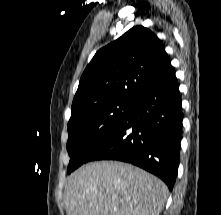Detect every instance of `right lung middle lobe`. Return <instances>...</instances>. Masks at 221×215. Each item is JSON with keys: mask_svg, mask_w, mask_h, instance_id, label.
<instances>
[{"mask_svg": "<svg viewBox=\"0 0 221 215\" xmlns=\"http://www.w3.org/2000/svg\"><path fill=\"white\" fill-rule=\"evenodd\" d=\"M132 105L133 101L114 99L72 107L68 122V174L87 162L89 155L128 114Z\"/></svg>", "mask_w": 221, "mask_h": 215, "instance_id": "obj_1", "label": "right lung middle lobe"}]
</instances>
